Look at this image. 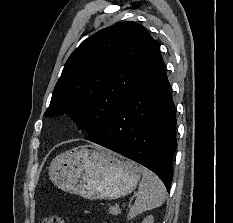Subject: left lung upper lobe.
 <instances>
[{
    "mask_svg": "<svg viewBox=\"0 0 233 223\" xmlns=\"http://www.w3.org/2000/svg\"><path fill=\"white\" fill-rule=\"evenodd\" d=\"M159 50L147 29L132 21L98 31L68 58L44 115H72L90 140L134 92Z\"/></svg>",
    "mask_w": 233,
    "mask_h": 223,
    "instance_id": "obj_1",
    "label": "left lung upper lobe"
}]
</instances>
